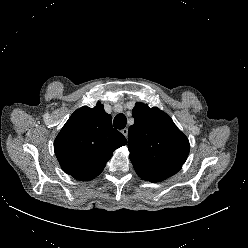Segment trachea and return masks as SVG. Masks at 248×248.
<instances>
[{"label": "trachea", "instance_id": "trachea-1", "mask_svg": "<svg viewBox=\"0 0 248 248\" xmlns=\"http://www.w3.org/2000/svg\"><path fill=\"white\" fill-rule=\"evenodd\" d=\"M113 126L116 129H124L126 126V117L124 114L120 113L118 115H116V117L114 118L113 121Z\"/></svg>", "mask_w": 248, "mask_h": 248}]
</instances>
